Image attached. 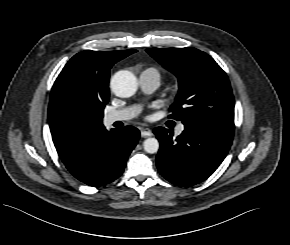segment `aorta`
<instances>
[{"label":"aorta","mask_w":290,"mask_h":245,"mask_svg":"<svg viewBox=\"0 0 290 245\" xmlns=\"http://www.w3.org/2000/svg\"><path fill=\"white\" fill-rule=\"evenodd\" d=\"M138 82L135 75L127 70H122L114 74L111 79V89L118 97L126 98L135 94ZM144 150L147 153H156L159 149V142L156 138H147L144 143Z\"/></svg>","instance_id":"aorta-1"}]
</instances>
